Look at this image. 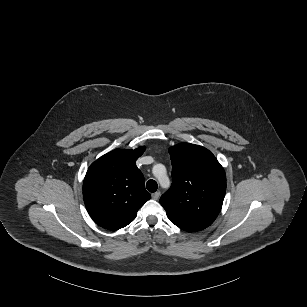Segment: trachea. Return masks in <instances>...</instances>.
I'll return each mask as SVG.
<instances>
[{
    "label": "trachea",
    "instance_id": "obj_1",
    "mask_svg": "<svg viewBox=\"0 0 307 307\" xmlns=\"http://www.w3.org/2000/svg\"><path fill=\"white\" fill-rule=\"evenodd\" d=\"M157 182L153 179H150L147 181L146 183V188L150 191V192H155L157 190Z\"/></svg>",
    "mask_w": 307,
    "mask_h": 307
}]
</instances>
